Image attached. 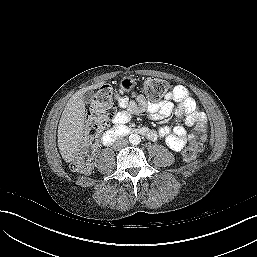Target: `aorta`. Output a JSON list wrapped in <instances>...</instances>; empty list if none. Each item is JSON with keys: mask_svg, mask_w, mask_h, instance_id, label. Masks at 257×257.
Masks as SVG:
<instances>
[{"mask_svg": "<svg viewBox=\"0 0 257 257\" xmlns=\"http://www.w3.org/2000/svg\"><path fill=\"white\" fill-rule=\"evenodd\" d=\"M129 142L133 145H138L141 142V137L138 134H131L129 136Z\"/></svg>", "mask_w": 257, "mask_h": 257, "instance_id": "aorta-1", "label": "aorta"}]
</instances>
